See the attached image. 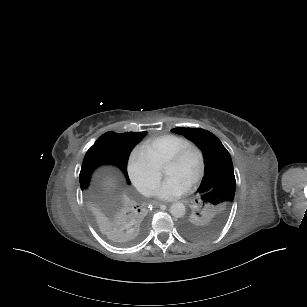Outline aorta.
<instances>
[{"label":"aorta","mask_w":307,"mask_h":307,"mask_svg":"<svg viewBox=\"0 0 307 307\" xmlns=\"http://www.w3.org/2000/svg\"><path fill=\"white\" fill-rule=\"evenodd\" d=\"M186 208L185 205L181 202H177L171 205L170 207V213L172 216L176 218H181L185 215Z\"/></svg>","instance_id":"762f6f07"}]
</instances>
